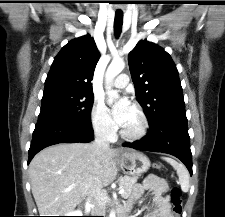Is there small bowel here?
<instances>
[{
    "label": "small bowel",
    "instance_id": "small-bowel-1",
    "mask_svg": "<svg viewBox=\"0 0 225 217\" xmlns=\"http://www.w3.org/2000/svg\"><path fill=\"white\" fill-rule=\"evenodd\" d=\"M165 191L166 183L163 179L152 174L148 175L141 184L136 185L133 196L128 201V208H131L144 193L148 192L152 195V203L147 207L146 217H176L171 205L164 197Z\"/></svg>",
    "mask_w": 225,
    "mask_h": 217
}]
</instances>
